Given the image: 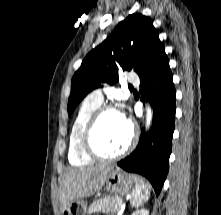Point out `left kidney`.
Segmentation results:
<instances>
[{
  "instance_id": "5707ae66",
  "label": "left kidney",
  "mask_w": 221,
  "mask_h": 215,
  "mask_svg": "<svg viewBox=\"0 0 221 215\" xmlns=\"http://www.w3.org/2000/svg\"><path fill=\"white\" fill-rule=\"evenodd\" d=\"M131 215H149V210L147 209L136 210Z\"/></svg>"
}]
</instances>
